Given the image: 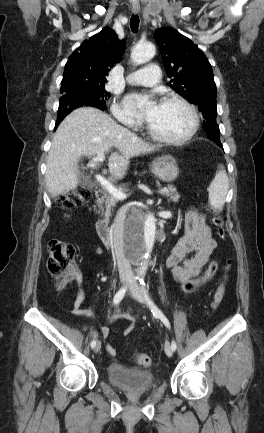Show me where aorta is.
Instances as JSON below:
<instances>
[{"instance_id":"1","label":"aorta","mask_w":264,"mask_h":433,"mask_svg":"<svg viewBox=\"0 0 264 433\" xmlns=\"http://www.w3.org/2000/svg\"><path fill=\"white\" fill-rule=\"evenodd\" d=\"M155 55V46L151 43L137 45L131 53L132 61L139 65L149 61ZM143 236V250L142 260L138 269L137 275L143 277L146 273L148 266V258L152 252L155 235H156V219L153 214H148L142 227Z\"/></svg>"}]
</instances>
